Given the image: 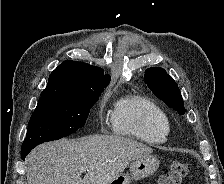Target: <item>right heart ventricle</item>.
<instances>
[{"mask_svg":"<svg viewBox=\"0 0 224 184\" xmlns=\"http://www.w3.org/2000/svg\"><path fill=\"white\" fill-rule=\"evenodd\" d=\"M111 123L115 133L148 144L164 143L170 133V120L166 112L139 94L126 95L115 103Z\"/></svg>","mask_w":224,"mask_h":184,"instance_id":"e07e8e85","label":"right heart ventricle"}]
</instances>
